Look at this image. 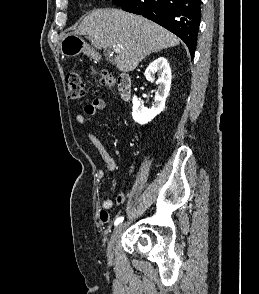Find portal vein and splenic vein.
Segmentation results:
<instances>
[{"instance_id": "1", "label": "portal vein and splenic vein", "mask_w": 259, "mask_h": 294, "mask_svg": "<svg viewBox=\"0 0 259 294\" xmlns=\"http://www.w3.org/2000/svg\"><path fill=\"white\" fill-rule=\"evenodd\" d=\"M121 46H119V45H116V46H113V50H114V52H116V53H119L120 51H121Z\"/></svg>"}]
</instances>
